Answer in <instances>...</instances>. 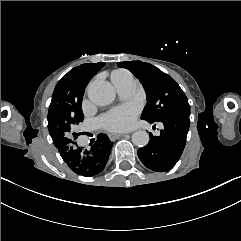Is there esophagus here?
Returning a JSON list of instances; mask_svg holds the SVG:
<instances>
[{"mask_svg": "<svg viewBox=\"0 0 241 241\" xmlns=\"http://www.w3.org/2000/svg\"><path fill=\"white\" fill-rule=\"evenodd\" d=\"M125 134L124 133H118V134H115V133H111L108 135V137L110 138L111 141H115L121 137H124Z\"/></svg>", "mask_w": 241, "mask_h": 241, "instance_id": "esophagus-1", "label": "esophagus"}]
</instances>
